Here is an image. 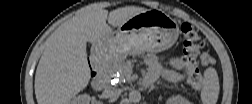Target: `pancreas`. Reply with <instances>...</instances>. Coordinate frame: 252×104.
Here are the masks:
<instances>
[{
    "label": "pancreas",
    "mask_w": 252,
    "mask_h": 104,
    "mask_svg": "<svg viewBox=\"0 0 252 104\" xmlns=\"http://www.w3.org/2000/svg\"><path fill=\"white\" fill-rule=\"evenodd\" d=\"M110 67H111V66H108V70H107V71H109ZM126 78H127V79H129V77H128V76H126Z\"/></svg>",
    "instance_id": "1"
}]
</instances>
